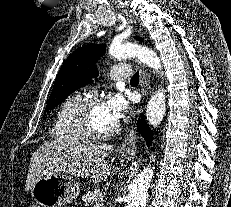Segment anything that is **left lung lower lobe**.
<instances>
[{
    "instance_id": "left-lung-lower-lobe-1",
    "label": "left lung lower lobe",
    "mask_w": 231,
    "mask_h": 207,
    "mask_svg": "<svg viewBox=\"0 0 231 207\" xmlns=\"http://www.w3.org/2000/svg\"><path fill=\"white\" fill-rule=\"evenodd\" d=\"M137 126H138L137 128L138 132L144 137L147 143H150L152 134L151 131L146 126L144 120L140 119L137 123Z\"/></svg>"
}]
</instances>
